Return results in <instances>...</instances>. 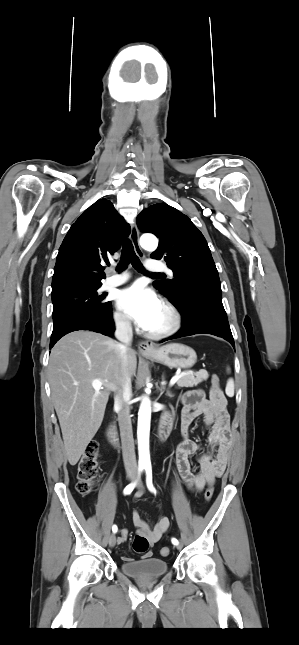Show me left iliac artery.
Here are the masks:
<instances>
[{"instance_id":"1","label":"left iliac artery","mask_w":299,"mask_h":645,"mask_svg":"<svg viewBox=\"0 0 299 645\" xmlns=\"http://www.w3.org/2000/svg\"><path fill=\"white\" fill-rule=\"evenodd\" d=\"M145 470H146V484H147V487L151 492L156 493V490L153 487V483H152V468H151V465L150 464L145 465ZM171 541H172V543L174 545H177L179 543L176 538H172Z\"/></svg>"}]
</instances>
